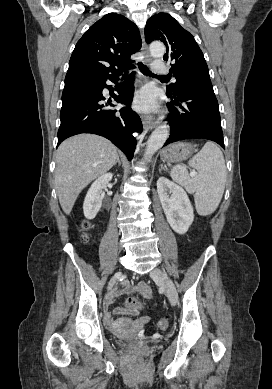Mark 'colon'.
<instances>
[{
  "label": "colon",
  "instance_id": "5ec220e1",
  "mask_svg": "<svg viewBox=\"0 0 272 389\" xmlns=\"http://www.w3.org/2000/svg\"><path fill=\"white\" fill-rule=\"evenodd\" d=\"M84 230L89 228L88 222H84L83 224ZM82 239L85 241L87 239L86 234L82 236ZM142 309V304L133 297H129L125 301V310L131 314H137ZM157 326L160 330H166L168 327V321L165 318H161L157 322Z\"/></svg>",
  "mask_w": 272,
  "mask_h": 389
}]
</instances>
